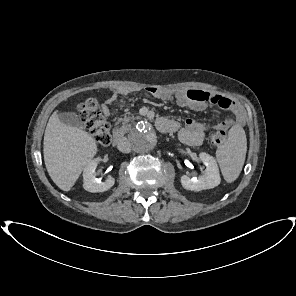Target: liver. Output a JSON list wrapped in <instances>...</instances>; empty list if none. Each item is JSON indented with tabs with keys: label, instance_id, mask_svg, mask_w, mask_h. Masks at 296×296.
Instances as JSON below:
<instances>
[{
	"label": "liver",
	"instance_id": "liver-1",
	"mask_svg": "<svg viewBox=\"0 0 296 296\" xmlns=\"http://www.w3.org/2000/svg\"><path fill=\"white\" fill-rule=\"evenodd\" d=\"M43 153L53 182L63 191H69L96 155L97 144L88 132L63 124L55 111L45 129Z\"/></svg>",
	"mask_w": 296,
	"mask_h": 296
}]
</instances>
